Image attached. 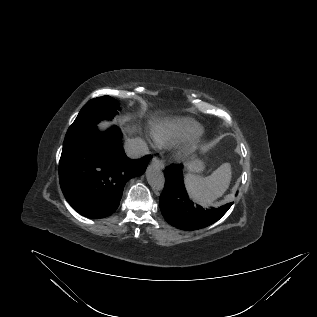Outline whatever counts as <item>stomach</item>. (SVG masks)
I'll use <instances>...</instances> for the list:
<instances>
[{"instance_id":"stomach-1","label":"stomach","mask_w":317,"mask_h":317,"mask_svg":"<svg viewBox=\"0 0 317 317\" xmlns=\"http://www.w3.org/2000/svg\"><path fill=\"white\" fill-rule=\"evenodd\" d=\"M187 170L189 172L199 173L204 169V163L199 159H194L186 163Z\"/></svg>"}]
</instances>
